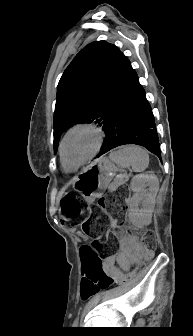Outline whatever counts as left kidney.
Here are the masks:
<instances>
[{
	"mask_svg": "<svg viewBox=\"0 0 193 336\" xmlns=\"http://www.w3.org/2000/svg\"><path fill=\"white\" fill-rule=\"evenodd\" d=\"M130 187L135 194L129 201V219L137 227L149 225L159 190V180L153 172H146L134 176ZM140 203H142L141 209H139Z\"/></svg>",
	"mask_w": 193,
	"mask_h": 336,
	"instance_id": "1",
	"label": "left kidney"
}]
</instances>
